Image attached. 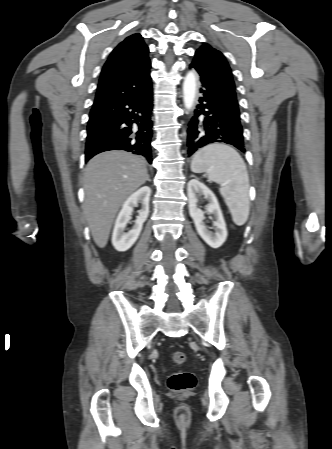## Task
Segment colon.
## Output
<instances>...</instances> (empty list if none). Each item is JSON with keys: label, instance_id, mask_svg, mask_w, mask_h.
I'll list each match as a JSON object with an SVG mask.
<instances>
[{"label": "colon", "instance_id": "colon-1", "mask_svg": "<svg viewBox=\"0 0 332 449\" xmlns=\"http://www.w3.org/2000/svg\"><path fill=\"white\" fill-rule=\"evenodd\" d=\"M172 361L181 365L185 362L186 356L181 351H173L171 353ZM196 378L192 372L178 371L170 375L168 379V387L171 391L176 393H183L192 390L195 387Z\"/></svg>", "mask_w": 332, "mask_h": 449}]
</instances>
